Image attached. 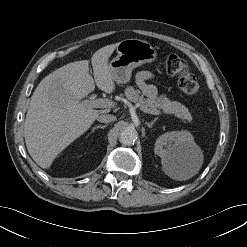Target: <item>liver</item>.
I'll use <instances>...</instances> for the list:
<instances>
[{"instance_id": "obj_1", "label": "liver", "mask_w": 247, "mask_h": 247, "mask_svg": "<svg viewBox=\"0 0 247 247\" xmlns=\"http://www.w3.org/2000/svg\"><path fill=\"white\" fill-rule=\"evenodd\" d=\"M117 46L107 45L92 55L94 79L89 74V61L82 60L53 71L36 87L26 114L24 137L28 153L41 168H49L99 114L110 111L96 110L82 99L94 91L95 83L106 93L115 90L108 59Z\"/></svg>"}]
</instances>
